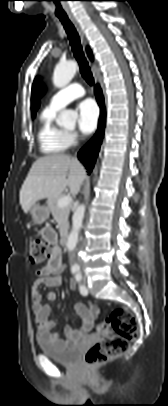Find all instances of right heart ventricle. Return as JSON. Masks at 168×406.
<instances>
[{"instance_id": "obj_1", "label": "right heart ventricle", "mask_w": 168, "mask_h": 406, "mask_svg": "<svg viewBox=\"0 0 168 406\" xmlns=\"http://www.w3.org/2000/svg\"><path fill=\"white\" fill-rule=\"evenodd\" d=\"M58 109L47 106L40 114L38 141L40 149L45 154L64 152L71 145L68 132L55 123Z\"/></svg>"}]
</instances>
